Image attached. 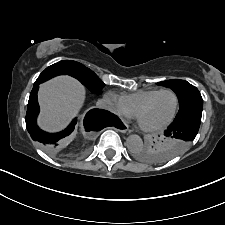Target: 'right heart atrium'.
Wrapping results in <instances>:
<instances>
[{
  "mask_svg": "<svg viewBox=\"0 0 225 225\" xmlns=\"http://www.w3.org/2000/svg\"><path fill=\"white\" fill-rule=\"evenodd\" d=\"M106 101L110 110L121 116H131L129 111L126 109L122 99L114 92H107L105 95Z\"/></svg>",
  "mask_w": 225,
  "mask_h": 225,
  "instance_id": "obj_1",
  "label": "right heart atrium"
}]
</instances>
